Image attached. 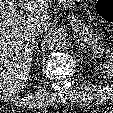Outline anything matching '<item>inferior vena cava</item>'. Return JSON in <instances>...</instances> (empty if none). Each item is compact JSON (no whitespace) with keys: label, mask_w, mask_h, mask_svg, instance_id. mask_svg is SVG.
I'll return each instance as SVG.
<instances>
[{"label":"inferior vena cava","mask_w":113,"mask_h":113,"mask_svg":"<svg viewBox=\"0 0 113 113\" xmlns=\"http://www.w3.org/2000/svg\"><path fill=\"white\" fill-rule=\"evenodd\" d=\"M47 31V27H39L34 31V35L35 37H38L39 35H41L42 33Z\"/></svg>","instance_id":"1"}]
</instances>
